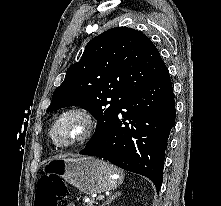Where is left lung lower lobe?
I'll list each match as a JSON object with an SVG mask.
<instances>
[{"mask_svg":"<svg viewBox=\"0 0 221 206\" xmlns=\"http://www.w3.org/2000/svg\"><path fill=\"white\" fill-rule=\"evenodd\" d=\"M175 115L173 89L166 70L133 94L121 107L111 128L79 154L102 157L120 168L144 175L159 192Z\"/></svg>","mask_w":221,"mask_h":206,"instance_id":"1","label":"left lung lower lobe"}]
</instances>
